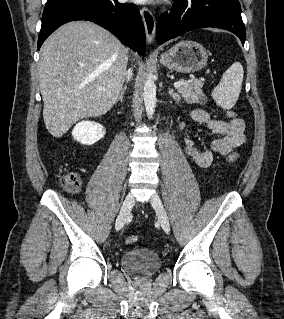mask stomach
<instances>
[{"mask_svg": "<svg viewBox=\"0 0 284 319\" xmlns=\"http://www.w3.org/2000/svg\"><path fill=\"white\" fill-rule=\"evenodd\" d=\"M207 51L194 41H180L160 57V63L172 71L193 73L207 64Z\"/></svg>", "mask_w": 284, "mask_h": 319, "instance_id": "obj_1", "label": "stomach"}]
</instances>
